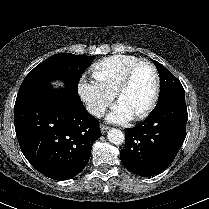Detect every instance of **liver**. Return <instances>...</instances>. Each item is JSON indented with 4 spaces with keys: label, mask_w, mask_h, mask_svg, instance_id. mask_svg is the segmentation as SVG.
<instances>
[{
    "label": "liver",
    "mask_w": 209,
    "mask_h": 209,
    "mask_svg": "<svg viewBox=\"0 0 209 209\" xmlns=\"http://www.w3.org/2000/svg\"><path fill=\"white\" fill-rule=\"evenodd\" d=\"M53 84H54L56 87H57V86H62V82H59V81H56V82H54Z\"/></svg>",
    "instance_id": "1"
}]
</instances>
